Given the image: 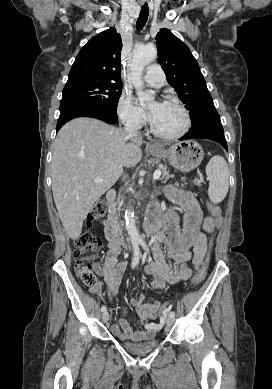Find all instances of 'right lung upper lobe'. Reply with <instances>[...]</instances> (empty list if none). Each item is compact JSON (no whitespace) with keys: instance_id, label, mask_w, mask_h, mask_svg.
I'll return each mask as SVG.
<instances>
[{"instance_id":"1","label":"right lung upper lobe","mask_w":272,"mask_h":389,"mask_svg":"<svg viewBox=\"0 0 272 389\" xmlns=\"http://www.w3.org/2000/svg\"><path fill=\"white\" fill-rule=\"evenodd\" d=\"M122 40L115 28L91 38L78 53L66 84L96 80L121 84Z\"/></svg>"}]
</instances>
